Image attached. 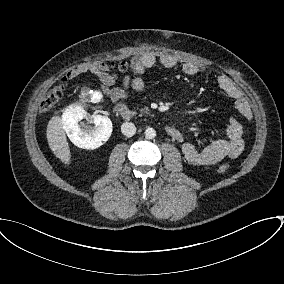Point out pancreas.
Listing matches in <instances>:
<instances>
[{
  "instance_id": "pancreas-1",
  "label": "pancreas",
  "mask_w": 284,
  "mask_h": 284,
  "mask_svg": "<svg viewBox=\"0 0 284 284\" xmlns=\"http://www.w3.org/2000/svg\"><path fill=\"white\" fill-rule=\"evenodd\" d=\"M149 111H150V110H149L148 107H144L143 109H140L141 115H142L143 113L148 114Z\"/></svg>"
}]
</instances>
